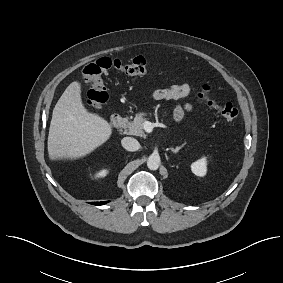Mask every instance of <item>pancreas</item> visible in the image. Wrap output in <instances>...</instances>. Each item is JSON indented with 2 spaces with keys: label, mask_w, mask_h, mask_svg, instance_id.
Segmentation results:
<instances>
[{
  "label": "pancreas",
  "mask_w": 283,
  "mask_h": 283,
  "mask_svg": "<svg viewBox=\"0 0 283 283\" xmlns=\"http://www.w3.org/2000/svg\"><path fill=\"white\" fill-rule=\"evenodd\" d=\"M146 113L139 112L136 114L133 121H129L124 125L126 133L128 135L145 137V133L143 131L144 123L146 122Z\"/></svg>",
  "instance_id": "pancreas-1"
}]
</instances>
